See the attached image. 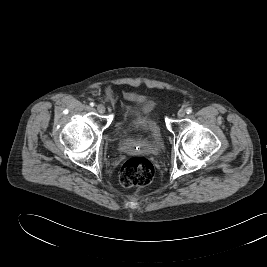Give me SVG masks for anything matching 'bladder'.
Here are the masks:
<instances>
[{
	"mask_svg": "<svg viewBox=\"0 0 267 267\" xmlns=\"http://www.w3.org/2000/svg\"><path fill=\"white\" fill-rule=\"evenodd\" d=\"M119 132L118 148L124 153L158 154L163 149V138L159 127L155 124L152 126L150 137L147 139L131 136L129 134V126L126 125H121Z\"/></svg>",
	"mask_w": 267,
	"mask_h": 267,
	"instance_id": "bladder-1",
	"label": "bladder"
}]
</instances>
